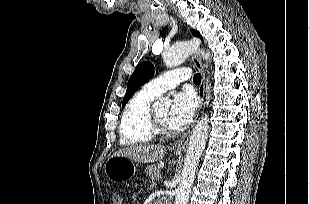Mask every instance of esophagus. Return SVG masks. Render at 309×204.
Wrapping results in <instances>:
<instances>
[{
	"label": "esophagus",
	"instance_id": "1",
	"mask_svg": "<svg viewBox=\"0 0 309 204\" xmlns=\"http://www.w3.org/2000/svg\"><path fill=\"white\" fill-rule=\"evenodd\" d=\"M191 60H192L193 64L195 65V67L200 71L201 76H202V81H201V84L199 86L198 94H199V97L201 99V104L203 105L204 97H205V83H206L204 66H203L201 60L196 55H192ZM188 136H189V133H186L183 136H181L180 138L176 139L171 144V149L177 150V151L183 150L187 141H188Z\"/></svg>",
	"mask_w": 309,
	"mask_h": 204
}]
</instances>
